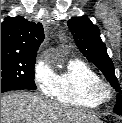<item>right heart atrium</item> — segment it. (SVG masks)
Masks as SVG:
<instances>
[{"instance_id": "1", "label": "right heart atrium", "mask_w": 122, "mask_h": 123, "mask_svg": "<svg viewBox=\"0 0 122 123\" xmlns=\"http://www.w3.org/2000/svg\"><path fill=\"white\" fill-rule=\"evenodd\" d=\"M33 78L35 84L43 94H52L55 73L48 57L40 56L37 58L33 69Z\"/></svg>"}]
</instances>
